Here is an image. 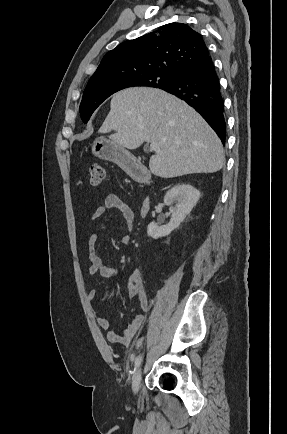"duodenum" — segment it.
<instances>
[{"mask_svg": "<svg viewBox=\"0 0 287 434\" xmlns=\"http://www.w3.org/2000/svg\"><path fill=\"white\" fill-rule=\"evenodd\" d=\"M125 168L130 172L131 176L138 182L149 183L151 181L150 175L145 171V169L139 165L137 160L133 157H125L122 161ZM150 209V200H143L140 212L143 217H145Z\"/></svg>", "mask_w": 287, "mask_h": 434, "instance_id": "obj_1", "label": "duodenum"}]
</instances>
